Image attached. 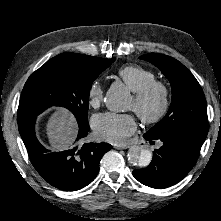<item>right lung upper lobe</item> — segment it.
Returning a JSON list of instances; mask_svg holds the SVG:
<instances>
[{"label":"right lung upper lobe","mask_w":221,"mask_h":221,"mask_svg":"<svg viewBox=\"0 0 221 221\" xmlns=\"http://www.w3.org/2000/svg\"><path fill=\"white\" fill-rule=\"evenodd\" d=\"M97 57L77 54V53H63L50 59L60 63L64 68L71 70H84L96 60Z\"/></svg>","instance_id":"right-lung-upper-lobe-1"}]
</instances>
